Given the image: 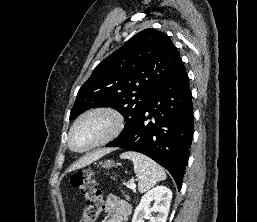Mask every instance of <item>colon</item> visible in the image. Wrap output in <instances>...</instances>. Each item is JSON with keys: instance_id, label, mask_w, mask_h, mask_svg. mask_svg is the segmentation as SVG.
<instances>
[{"instance_id": "1", "label": "colon", "mask_w": 257, "mask_h": 222, "mask_svg": "<svg viewBox=\"0 0 257 222\" xmlns=\"http://www.w3.org/2000/svg\"><path fill=\"white\" fill-rule=\"evenodd\" d=\"M70 184L78 188L85 199V208L79 222H96L103 208L101 191L90 170H78L70 177Z\"/></svg>"}]
</instances>
